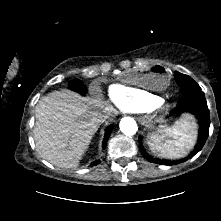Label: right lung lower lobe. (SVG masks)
Wrapping results in <instances>:
<instances>
[{"label": "right lung lower lobe", "instance_id": "right-lung-lower-lobe-1", "mask_svg": "<svg viewBox=\"0 0 221 221\" xmlns=\"http://www.w3.org/2000/svg\"><path fill=\"white\" fill-rule=\"evenodd\" d=\"M112 129H113V126H109L107 129H106V132H105V137H104V140H103V149L106 147V144H107V141H108V139H109V136H110V134H111V132H112ZM99 160H96V161H94L93 163H92V166H95V165H97V164H99Z\"/></svg>", "mask_w": 221, "mask_h": 221}]
</instances>
